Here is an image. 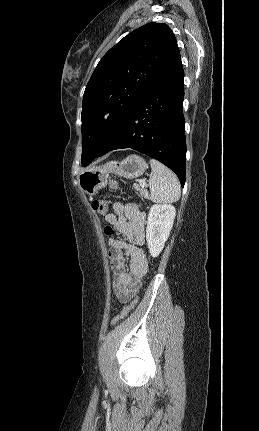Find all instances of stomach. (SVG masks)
<instances>
[{
  "label": "stomach",
  "instance_id": "obj_1",
  "mask_svg": "<svg viewBox=\"0 0 259 431\" xmlns=\"http://www.w3.org/2000/svg\"><path fill=\"white\" fill-rule=\"evenodd\" d=\"M147 168L146 161L139 155H129L122 161H110L106 164L84 170L78 176L80 188L92 196L107 185L110 173L126 179H134L141 176Z\"/></svg>",
  "mask_w": 259,
  "mask_h": 431
}]
</instances>
